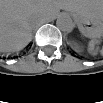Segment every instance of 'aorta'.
Returning a JSON list of instances; mask_svg holds the SVG:
<instances>
[{"instance_id":"1","label":"aorta","mask_w":103,"mask_h":103,"mask_svg":"<svg viewBox=\"0 0 103 103\" xmlns=\"http://www.w3.org/2000/svg\"><path fill=\"white\" fill-rule=\"evenodd\" d=\"M57 27L64 32H70L73 29V21L70 16L62 14L57 18Z\"/></svg>"}]
</instances>
